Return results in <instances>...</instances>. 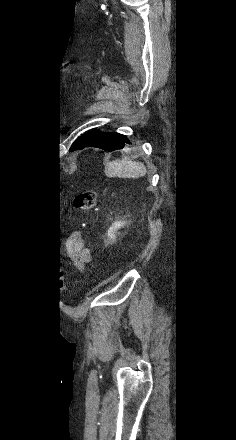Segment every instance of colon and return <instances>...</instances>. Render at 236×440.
I'll return each mask as SVG.
<instances>
[{"label": "colon", "instance_id": "1", "mask_svg": "<svg viewBox=\"0 0 236 440\" xmlns=\"http://www.w3.org/2000/svg\"><path fill=\"white\" fill-rule=\"evenodd\" d=\"M98 193L95 189H86L76 194L74 197V206L81 212H89L93 209ZM63 276L60 273L55 276H49L47 282L49 285H58Z\"/></svg>", "mask_w": 236, "mask_h": 440}]
</instances>
